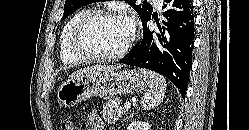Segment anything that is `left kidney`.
Segmentation results:
<instances>
[{"instance_id": "left-kidney-1", "label": "left kidney", "mask_w": 249, "mask_h": 130, "mask_svg": "<svg viewBox=\"0 0 249 130\" xmlns=\"http://www.w3.org/2000/svg\"><path fill=\"white\" fill-rule=\"evenodd\" d=\"M127 130H151V126L148 122L133 121L129 124Z\"/></svg>"}]
</instances>
